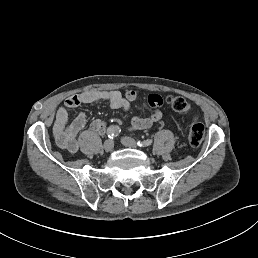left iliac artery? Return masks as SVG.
<instances>
[{
  "label": "left iliac artery",
  "instance_id": "obj_1",
  "mask_svg": "<svg viewBox=\"0 0 258 258\" xmlns=\"http://www.w3.org/2000/svg\"><path fill=\"white\" fill-rule=\"evenodd\" d=\"M152 143H153V140H152V139H147V140H144V141H138V142H137V145H138L139 147H148V146H150Z\"/></svg>",
  "mask_w": 258,
  "mask_h": 258
}]
</instances>
